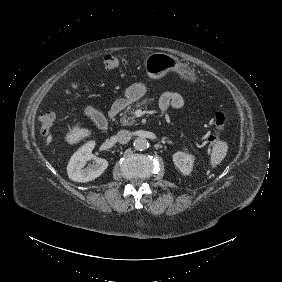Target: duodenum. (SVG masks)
I'll use <instances>...</instances> for the list:
<instances>
[{
  "instance_id": "duodenum-1",
  "label": "duodenum",
  "mask_w": 282,
  "mask_h": 282,
  "mask_svg": "<svg viewBox=\"0 0 282 282\" xmlns=\"http://www.w3.org/2000/svg\"><path fill=\"white\" fill-rule=\"evenodd\" d=\"M123 107H124V102L122 100H118L117 102H115L109 110V117L111 119H114L119 114V112L122 110Z\"/></svg>"
}]
</instances>
